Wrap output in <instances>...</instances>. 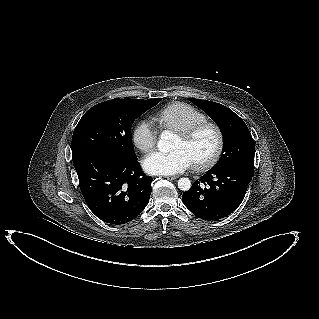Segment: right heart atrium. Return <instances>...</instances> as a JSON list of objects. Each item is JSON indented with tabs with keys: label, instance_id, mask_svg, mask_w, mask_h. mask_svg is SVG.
Wrapping results in <instances>:
<instances>
[{
	"label": "right heart atrium",
	"instance_id": "obj_1",
	"mask_svg": "<svg viewBox=\"0 0 319 319\" xmlns=\"http://www.w3.org/2000/svg\"><path fill=\"white\" fill-rule=\"evenodd\" d=\"M157 130L148 120L138 121L132 130V140L143 153L150 152L157 143Z\"/></svg>",
	"mask_w": 319,
	"mask_h": 319
}]
</instances>
